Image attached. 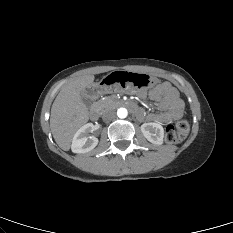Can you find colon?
Masks as SVG:
<instances>
[{
	"label": "colon",
	"mask_w": 233,
	"mask_h": 233,
	"mask_svg": "<svg viewBox=\"0 0 233 233\" xmlns=\"http://www.w3.org/2000/svg\"><path fill=\"white\" fill-rule=\"evenodd\" d=\"M187 120H179L174 125H168L165 131V140L170 144H177L184 140L189 133Z\"/></svg>",
	"instance_id": "1"
}]
</instances>
